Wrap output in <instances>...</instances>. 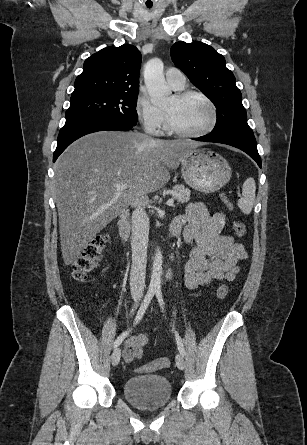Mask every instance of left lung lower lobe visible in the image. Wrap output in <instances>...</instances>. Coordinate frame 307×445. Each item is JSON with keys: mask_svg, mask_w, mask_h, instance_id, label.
<instances>
[{"mask_svg": "<svg viewBox=\"0 0 307 445\" xmlns=\"http://www.w3.org/2000/svg\"><path fill=\"white\" fill-rule=\"evenodd\" d=\"M197 141L215 142L231 145L239 148L250 157H252L259 167L261 168V158L257 151V144L253 133L246 132H223V133H210L199 138H195Z\"/></svg>", "mask_w": 307, "mask_h": 445, "instance_id": "0a47b994", "label": "left lung lower lobe"}]
</instances>
